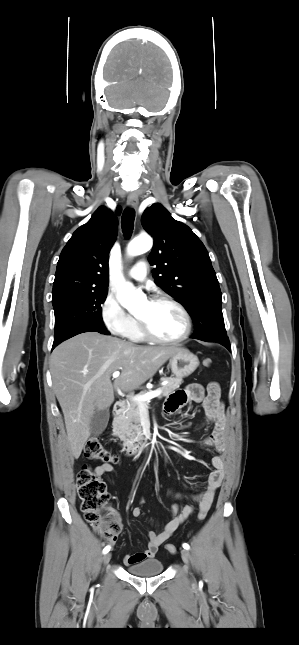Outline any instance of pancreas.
Listing matches in <instances>:
<instances>
[{"label": "pancreas", "mask_w": 299, "mask_h": 645, "mask_svg": "<svg viewBox=\"0 0 299 645\" xmlns=\"http://www.w3.org/2000/svg\"><path fill=\"white\" fill-rule=\"evenodd\" d=\"M163 381H167V384L158 388L161 390L160 397H166L171 394L174 390L179 388L180 384L183 382L182 378H163ZM151 390H144L140 392L139 395L146 394ZM147 407V402L143 403ZM140 408L139 403L133 400L132 396L128 397L125 411L123 414L117 416L114 421L113 431L116 436L123 441L124 444L129 445L135 442L142 441L144 439L142 433V427L140 425Z\"/></svg>", "instance_id": "cf45deb5"}]
</instances>
